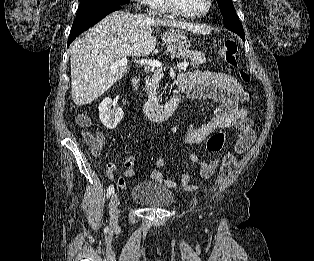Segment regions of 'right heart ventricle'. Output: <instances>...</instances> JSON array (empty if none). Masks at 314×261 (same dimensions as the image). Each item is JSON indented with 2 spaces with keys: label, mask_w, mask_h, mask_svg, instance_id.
<instances>
[{
  "label": "right heart ventricle",
  "mask_w": 314,
  "mask_h": 261,
  "mask_svg": "<svg viewBox=\"0 0 314 261\" xmlns=\"http://www.w3.org/2000/svg\"><path fill=\"white\" fill-rule=\"evenodd\" d=\"M153 10L157 13H166L170 10L166 7L164 0H160L154 7Z\"/></svg>",
  "instance_id": "obj_1"
}]
</instances>
